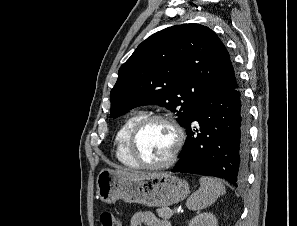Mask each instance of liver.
Here are the masks:
<instances>
[{
    "instance_id": "1",
    "label": "liver",
    "mask_w": 297,
    "mask_h": 226,
    "mask_svg": "<svg viewBox=\"0 0 297 226\" xmlns=\"http://www.w3.org/2000/svg\"><path fill=\"white\" fill-rule=\"evenodd\" d=\"M115 172L125 178L128 179H142L154 174H145V173H139V172H128V171H123V170H115Z\"/></svg>"
}]
</instances>
